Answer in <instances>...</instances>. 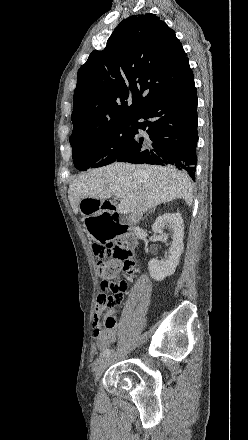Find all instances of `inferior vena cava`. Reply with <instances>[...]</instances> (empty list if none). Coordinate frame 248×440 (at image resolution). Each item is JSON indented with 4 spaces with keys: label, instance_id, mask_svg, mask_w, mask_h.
I'll use <instances>...</instances> for the list:
<instances>
[{
    "label": "inferior vena cava",
    "instance_id": "1",
    "mask_svg": "<svg viewBox=\"0 0 248 440\" xmlns=\"http://www.w3.org/2000/svg\"><path fill=\"white\" fill-rule=\"evenodd\" d=\"M144 209L143 208H139L138 211L136 213H133L130 216L131 221L136 224L139 222V220L141 219L142 215H143Z\"/></svg>",
    "mask_w": 248,
    "mask_h": 440
}]
</instances>
